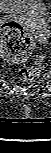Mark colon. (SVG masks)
I'll return each mask as SVG.
<instances>
[{
  "instance_id": "obj_1",
  "label": "colon",
  "mask_w": 51,
  "mask_h": 153,
  "mask_svg": "<svg viewBox=\"0 0 51 153\" xmlns=\"http://www.w3.org/2000/svg\"><path fill=\"white\" fill-rule=\"evenodd\" d=\"M1 54L11 62L22 63L31 55L34 41L31 35L18 23L6 22L2 25ZM43 56H34L32 67H22L17 77L22 81H31L39 77L42 69Z\"/></svg>"
}]
</instances>
